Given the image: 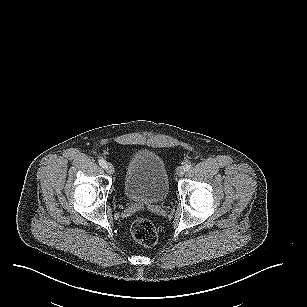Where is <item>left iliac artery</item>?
I'll use <instances>...</instances> for the list:
<instances>
[{
	"instance_id": "1",
	"label": "left iliac artery",
	"mask_w": 307,
	"mask_h": 307,
	"mask_svg": "<svg viewBox=\"0 0 307 307\" xmlns=\"http://www.w3.org/2000/svg\"><path fill=\"white\" fill-rule=\"evenodd\" d=\"M191 167H192V164H191V163H189V164H186V165L184 166V168H185V171H188V170H190V169H191Z\"/></svg>"
}]
</instances>
